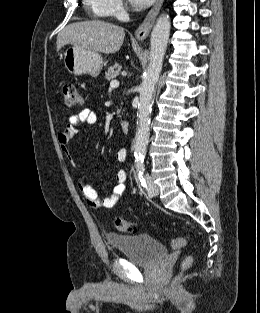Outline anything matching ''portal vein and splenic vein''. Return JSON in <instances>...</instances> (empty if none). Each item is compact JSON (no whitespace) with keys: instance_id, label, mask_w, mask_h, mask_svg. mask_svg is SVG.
<instances>
[{"instance_id":"18ae733b","label":"portal vein and splenic vein","mask_w":260,"mask_h":313,"mask_svg":"<svg viewBox=\"0 0 260 313\" xmlns=\"http://www.w3.org/2000/svg\"><path fill=\"white\" fill-rule=\"evenodd\" d=\"M119 86V81H117V80H112L111 82H110V87L111 88H115V87H118Z\"/></svg>"}]
</instances>
